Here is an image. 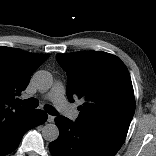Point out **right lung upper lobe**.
<instances>
[{
    "instance_id": "right-lung-upper-lobe-1",
    "label": "right lung upper lobe",
    "mask_w": 156,
    "mask_h": 156,
    "mask_svg": "<svg viewBox=\"0 0 156 156\" xmlns=\"http://www.w3.org/2000/svg\"><path fill=\"white\" fill-rule=\"evenodd\" d=\"M48 57L49 54L29 53L0 46V121L30 110L17 105L15 97L26 89L33 72Z\"/></svg>"
}]
</instances>
